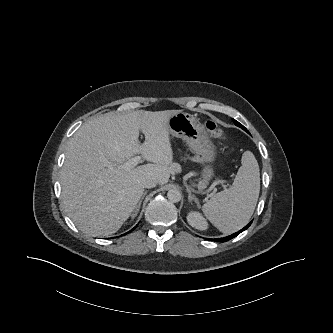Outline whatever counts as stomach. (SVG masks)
<instances>
[{"instance_id": "obj_1", "label": "stomach", "mask_w": 333, "mask_h": 333, "mask_svg": "<svg viewBox=\"0 0 333 333\" xmlns=\"http://www.w3.org/2000/svg\"><path fill=\"white\" fill-rule=\"evenodd\" d=\"M168 126L172 136L181 138L190 150L205 164L202 181L208 183L214 176L212 163L216 157V148L204 125L193 115L179 111L169 118Z\"/></svg>"}]
</instances>
